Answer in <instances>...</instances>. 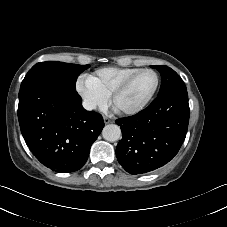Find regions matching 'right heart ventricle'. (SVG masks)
Listing matches in <instances>:
<instances>
[{
	"label": "right heart ventricle",
	"mask_w": 227,
	"mask_h": 227,
	"mask_svg": "<svg viewBox=\"0 0 227 227\" xmlns=\"http://www.w3.org/2000/svg\"><path fill=\"white\" fill-rule=\"evenodd\" d=\"M141 69L139 67H106L99 69L94 75L88 78L110 96L118 85Z\"/></svg>",
	"instance_id": "1"
}]
</instances>
